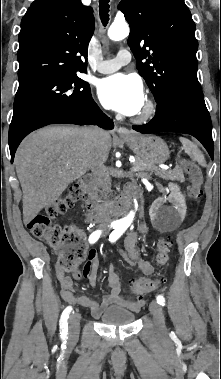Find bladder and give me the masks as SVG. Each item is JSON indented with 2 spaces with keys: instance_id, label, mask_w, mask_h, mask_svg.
I'll return each mask as SVG.
<instances>
[{
  "instance_id": "31cf9c89",
  "label": "bladder",
  "mask_w": 221,
  "mask_h": 379,
  "mask_svg": "<svg viewBox=\"0 0 221 379\" xmlns=\"http://www.w3.org/2000/svg\"><path fill=\"white\" fill-rule=\"evenodd\" d=\"M135 320V313L132 311L119 307L111 306L107 308L100 316V321L106 325H128Z\"/></svg>"
}]
</instances>
